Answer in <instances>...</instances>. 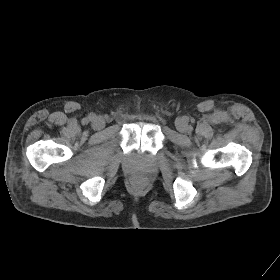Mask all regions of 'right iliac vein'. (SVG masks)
Returning a JSON list of instances; mask_svg holds the SVG:
<instances>
[{"instance_id": "right-iliac-vein-1", "label": "right iliac vein", "mask_w": 280, "mask_h": 280, "mask_svg": "<svg viewBox=\"0 0 280 280\" xmlns=\"http://www.w3.org/2000/svg\"><path fill=\"white\" fill-rule=\"evenodd\" d=\"M92 127L96 130H100L105 127V121L102 117H95L92 122Z\"/></svg>"}]
</instances>
